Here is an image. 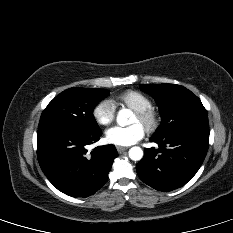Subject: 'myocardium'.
<instances>
[{
  "label": "myocardium",
  "instance_id": "obj_1",
  "mask_svg": "<svg viewBox=\"0 0 233 233\" xmlns=\"http://www.w3.org/2000/svg\"><path fill=\"white\" fill-rule=\"evenodd\" d=\"M135 115L148 133H153L158 129L160 125V115L153 108L137 111Z\"/></svg>",
  "mask_w": 233,
  "mask_h": 233
}]
</instances>
